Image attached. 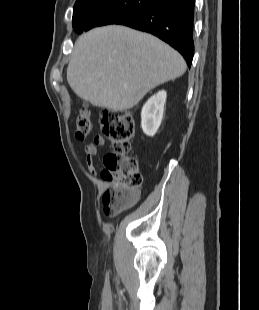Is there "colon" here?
<instances>
[{
	"label": "colon",
	"mask_w": 259,
	"mask_h": 310,
	"mask_svg": "<svg viewBox=\"0 0 259 310\" xmlns=\"http://www.w3.org/2000/svg\"><path fill=\"white\" fill-rule=\"evenodd\" d=\"M101 130L110 141L112 151L104 156L105 169L102 177L114 182L102 198V212L107 218L121 213L135 199L137 189L142 184L138 161L129 154L135 124L132 116L123 111H105L101 116ZM94 124L88 109L81 110L76 118V136L85 139Z\"/></svg>",
	"instance_id": "obj_1"
}]
</instances>
